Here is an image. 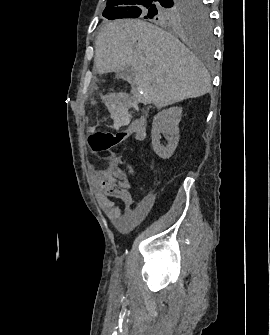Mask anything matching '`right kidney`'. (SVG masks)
Returning <instances> with one entry per match:
<instances>
[{"label": "right kidney", "instance_id": "ca27d5eb", "mask_svg": "<svg viewBox=\"0 0 270 335\" xmlns=\"http://www.w3.org/2000/svg\"><path fill=\"white\" fill-rule=\"evenodd\" d=\"M182 108H169L162 110L155 116L152 124V146L159 158L167 160L173 156L179 142L178 124L181 122ZM160 134L168 138L167 146L160 144Z\"/></svg>", "mask_w": 270, "mask_h": 335}]
</instances>
